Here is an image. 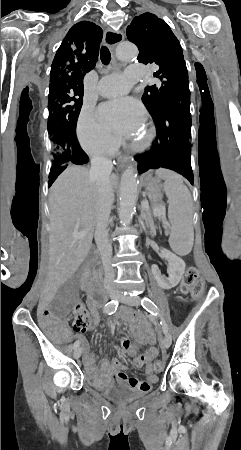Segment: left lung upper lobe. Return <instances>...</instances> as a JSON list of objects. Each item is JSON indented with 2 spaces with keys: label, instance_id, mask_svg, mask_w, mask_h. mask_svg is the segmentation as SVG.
I'll return each mask as SVG.
<instances>
[{
  "label": "left lung upper lobe",
  "instance_id": "obj_1",
  "mask_svg": "<svg viewBox=\"0 0 241 450\" xmlns=\"http://www.w3.org/2000/svg\"><path fill=\"white\" fill-rule=\"evenodd\" d=\"M127 37L139 49V62L159 66V70L153 75L161 79V85L146 87L142 96L153 119L168 107L190 99L188 72L182 48L163 20L149 12L136 16L127 27Z\"/></svg>",
  "mask_w": 241,
  "mask_h": 450
}]
</instances>
